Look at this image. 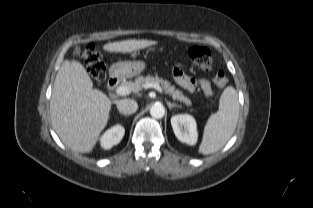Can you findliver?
<instances>
[{
	"instance_id": "obj_1",
	"label": "liver",
	"mask_w": 313,
	"mask_h": 208,
	"mask_svg": "<svg viewBox=\"0 0 313 208\" xmlns=\"http://www.w3.org/2000/svg\"><path fill=\"white\" fill-rule=\"evenodd\" d=\"M157 44L154 40H123L107 43L108 52L130 53ZM112 101L93 82L84 66L65 60L54 81L50 116L54 130L71 150L89 153L105 128Z\"/></svg>"
}]
</instances>
